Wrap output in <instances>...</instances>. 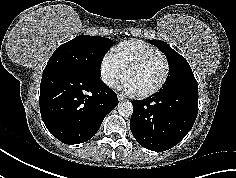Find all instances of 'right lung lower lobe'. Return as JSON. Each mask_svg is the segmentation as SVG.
<instances>
[{"label": "right lung lower lobe", "instance_id": "1", "mask_svg": "<svg viewBox=\"0 0 236 178\" xmlns=\"http://www.w3.org/2000/svg\"><path fill=\"white\" fill-rule=\"evenodd\" d=\"M117 104V95L100 78L62 71L42 75V120L49 132L65 144L91 139Z\"/></svg>", "mask_w": 236, "mask_h": 178}]
</instances>
